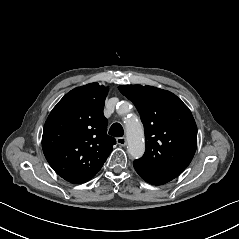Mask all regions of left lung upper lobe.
Instances as JSON below:
<instances>
[{"instance_id": "5c2ea615", "label": "left lung upper lobe", "mask_w": 239, "mask_h": 239, "mask_svg": "<svg viewBox=\"0 0 239 239\" xmlns=\"http://www.w3.org/2000/svg\"><path fill=\"white\" fill-rule=\"evenodd\" d=\"M120 92L140 113L146 150L137 162L186 168L197 148V126L189 108L173 93L152 86L123 85Z\"/></svg>"}]
</instances>
